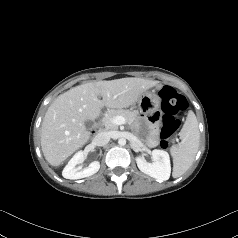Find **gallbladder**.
Masks as SVG:
<instances>
[{"instance_id": "obj_1", "label": "gallbladder", "mask_w": 238, "mask_h": 238, "mask_svg": "<svg viewBox=\"0 0 238 238\" xmlns=\"http://www.w3.org/2000/svg\"><path fill=\"white\" fill-rule=\"evenodd\" d=\"M85 127L86 128H91L92 127V125H93V122L91 121V120H87V121H85Z\"/></svg>"}]
</instances>
